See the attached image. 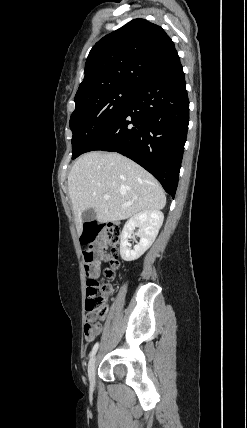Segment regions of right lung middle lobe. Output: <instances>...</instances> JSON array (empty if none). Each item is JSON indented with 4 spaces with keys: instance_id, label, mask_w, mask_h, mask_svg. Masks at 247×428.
Returning a JSON list of instances; mask_svg holds the SVG:
<instances>
[{
    "instance_id": "right-lung-middle-lobe-1",
    "label": "right lung middle lobe",
    "mask_w": 247,
    "mask_h": 428,
    "mask_svg": "<svg viewBox=\"0 0 247 428\" xmlns=\"http://www.w3.org/2000/svg\"><path fill=\"white\" fill-rule=\"evenodd\" d=\"M137 89L115 86L75 97V110L69 126L73 132L72 159L85 152L90 144L124 111Z\"/></svg>"
}]
</instances>
